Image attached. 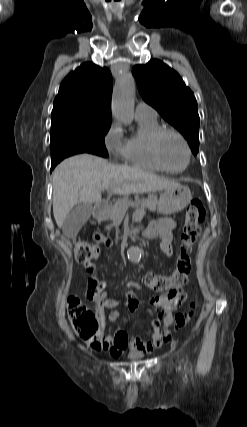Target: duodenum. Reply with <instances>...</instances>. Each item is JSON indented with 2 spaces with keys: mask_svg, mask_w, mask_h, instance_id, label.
I'll use <instances>...</instances> for the list:
<instances>
[{
  "mask_svg": "<svg viewBox=\"0 0 247 427\" xmlns=\"http://www.w3.org/2000/svg\"><path fill=\"white\" fill-rule=\"evenodd\" d=\"M108 209L107 201H99L94 206L93 214L96 218H101L105 214Z\"/></svg>",
  "mask_w": 247,
  "mask_h": 427,
  "instance_id": "1",
  "label": "duodenum"
}]
</instances>
